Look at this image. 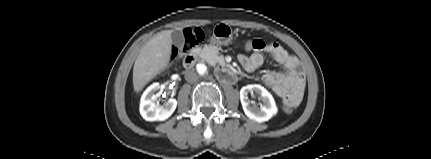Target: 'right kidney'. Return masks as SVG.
Wrapping results in <instances>:
<instances>
[{
    "instance_id": "ca27d5eb",
    "label": "right kidney",
    "mask_w": 431,
    "mask_h": 159,
    "mask_svg": "<svg viewBox=\"0 0 431 159\" xmlns=\"http://www.w3.org/2000/svg\"><path fill=\"white\" fill-rule=\"evenodd\" d=\"M159 89L160 84L153 83L141 97L140 114L146 121H164L173 114L177 107L176 99H169L163 105L156 103Z\"/></svg>"
}]
</instances>
